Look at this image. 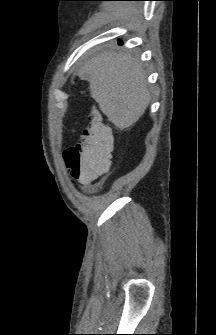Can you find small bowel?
<instances>
[{
  "label": "small bowel",
  "instance_id": "1",
  "mask_svg": "<svg viewBox=\"0 0 216 335\" xmlns=\"http://www.w3.org/2000/svg\"><path fill=\"white\" fill-rule=\"evenodd\" d=\"M113 152V151H112ZM104 172H101L103 174ZM74 177V175H72ZM75 178V177H74ZM77 181L82 185H87L92 182L95 178H76Z\"/></svg>",
  "mask_w": 216,
  "mask_h": 335
}]
</instances>
